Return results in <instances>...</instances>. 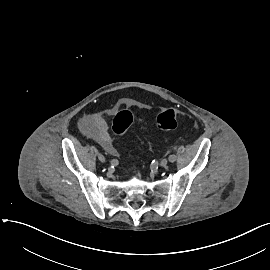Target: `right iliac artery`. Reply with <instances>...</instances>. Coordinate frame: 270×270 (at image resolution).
I'll return each mask as SVG.
<instances>
[{"label":"right iliac artery","mask_w":270,"mask_h":270,"mask_svg":"<svg viewBox=\"0 0 270 270\" xmlns=\"http://www.w3.org/2000/svg\"><path fill=\"white\" fill-rule=\"evenodd\" d=\"M110 164H111L112 166H116V165H118V160H117V159H112V160L110 161Z\"/></svg>","instance_id":"82829eb1"}]
</instances>
